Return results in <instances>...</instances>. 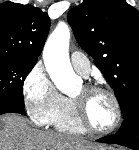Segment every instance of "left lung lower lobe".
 I'll return each mask as SVG.
<instances>
[{
    "label": "left lung lower lobe",
    "instance_id": "0a47b994",
    "mask_svg": "<svg viewBox=\"0 0 139 150\" xmlns=\"http://www.w3.org/2000/svg\"><path fill=\"white\" fill-rule=\"evenodd\" d=\"M108 144H119L132 150H139V100L132 102L124 114L120 130L114 135H108L97 140Z\"/></svg>",
    "mask_w": 139,
    "mask_h": 150
}]
</instances>
